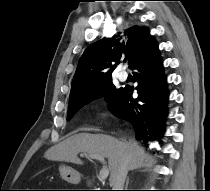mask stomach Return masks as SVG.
<instances>
[{"mask_svg": "<svg viewBox=\"0 0 210 191\" xmlns=\"http://www.w3.org/2000/svg\"><path fill=\"white\" fill-rule=\"evenodd\" d=\"M59 171L61 177L69 183L78 184L81 181V174L69 166L61 165Z\"/></svg>", "mask_w": 210, "mask_h": 191, "instance_id": "0dacf381", "label": "stomach"}]
</instances>
